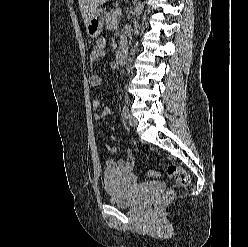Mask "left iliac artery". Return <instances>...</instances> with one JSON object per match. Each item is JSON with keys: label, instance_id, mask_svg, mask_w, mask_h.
Instances as JSON below:
<instances>
[{"label": "left iliac artery", "instance_id": "obj_1", "mask_svg": "<svg viewBox=\"0 0 248 247\" xmlns=\"http://www.w3.org/2000/svg\"><path fill=\"white\" fill-rule=\"evenodd\" d=\"M123 116L124 118H128L129 116V109L126 106L123 107Z\"/></svg>", "mask_w": 248, "mask_h": 247}]
</instances>
